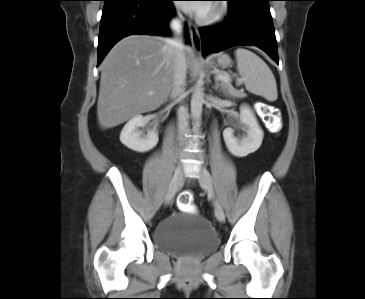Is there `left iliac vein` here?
<instances>
[{
    "label": "left iliac vein",
    "mask_w": 365,
    "mask_h": 299,
    "mask_svg": "<svg viewBox=\"0 0 365 299\" xmlns=\"http://www.w3.org/2000/svg\"><path fill=\"white\" fill-rule=\"evenodd\" d=\"M198 180L200 186L212 197H214L213 183L210 173L202 166L198 165ZM215 216L217 220L223 222L225 220V214L223 208L218 201H215Z\"/></svg>",
    "instance_id": "1"
}]
</instances>
